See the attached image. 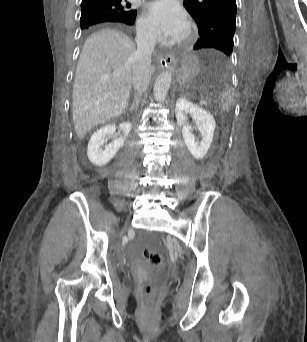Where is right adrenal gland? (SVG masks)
I'll list each match as a JSON object with an SVG mask.
<instances>
[{
    "label": "right adrenal gland",
    "mask_w": 307,
    "mask_h": 342,
    "mask_svg": "<svg viewBox=\"0 0 307 342\" xmlns=\"http://www.w3.org/2000/svg\"><path fill=\"white\" fill-rule=\"evenodd\" d=\"M131 110H133V106H131V108H130V112H131Z\"/></svg>",
    "instance_id": "2a0ac1e0"
}]
</instances>
